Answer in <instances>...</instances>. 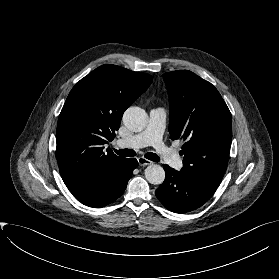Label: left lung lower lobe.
<instances>
[{"label":"left lung lower lobe","mask_w":279,"mask_h":279,"mask_svg":"<svg viewBox=\"0 0 279 279\" xmlns=\"http://www.w3.org/2000/svg\"><path fill=\"white\" fill-rule=\"evenodd\" d=\"M166 177L156 190L159 201L174 213L195 210L207 202L216 191L202 181L183 175L181 172L164 166Z\"/></svg>","instance_id":"left-lung-lower-lobe-1"}]
</instances>
